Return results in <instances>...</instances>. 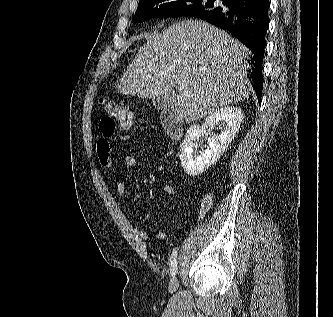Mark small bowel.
I'll list each match as a JSON object with an SVG mask.
<instances>
[{
    "mask_svg": "<svg viewBox=\"0 0 333 317\" xmlns=\"http://www.w3.org/2000/svg\"><path fill=\"white\" fill-rule=\"evenodd\" d=\"M120 140L123 142H127L130 140V136L129 135H122L120 137ZM96 151H97V155L99 158V161L101 163V165L105 168H110L111 167V144L110 141L107 138H100L97 141V145H96ZM141 159L140 155L138 153H132L130 155H128L125 160H124V164L127 168H131L133 167L139 160ZM114 183L116 185V189L118 192V195L122 201L123 204V209H124V213L126 215L127 218L130 217V212H131V208H130V204L128 202L127 199V191H126V186L125 183L119 179V177L117 175L114 176ZM163 192L167 195V196H175V189L173 188V186L171 185H165L163 187ZM134 231L136 236L143 240V241H147L150 239L149 234L142 230L139 229L137 227H134ZM167 237L166 232L161 231L159 233H157L156 235V239L161 241L164 240Z\"/></svg>",
    "mask_w": 333,
    "mask_h": 317,
    "instance_id": "obj_1",
    "label": "small bowel"
}]
</instances>
